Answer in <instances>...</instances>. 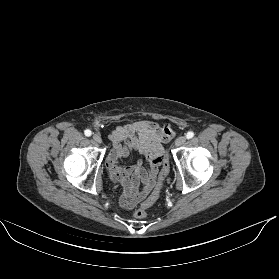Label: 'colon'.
Here are the masks:
<instances>
[{"label": "colon", "instance_id": "colon-1", "mask_svg": "<svg viewBox=\"0 0 279 279\" xmlns=\"http://www.w3.org/2000/svg\"><path fill=\"white\" fill-rule=\"evenodd\" d=\"M169 172V161L167 157L163 159V166L160 172L159 180L151 195L141 204L140 208L135 211L137 218H145L147 216L146 209L149 208L159 197L164 180Z\"/></svg>", "mask_w": 279, "mask_h": 279}]
</instances>
